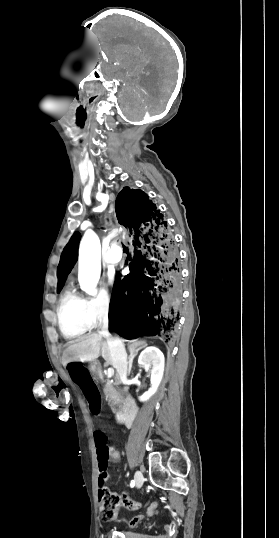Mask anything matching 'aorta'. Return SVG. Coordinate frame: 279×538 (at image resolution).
Masks as SVG:
<instances>
[{
  "label": "aorta",
  "instance_id": "762f6f07",
  "mask_svg": "<svg viewBox=\"0 0 279 538\" xmlns=\"http://www.w3.org/2000/svg\"><path fill=\"white\" fill-rule=\"evenodd\" d=\"M101 244L93 231H87L80 243L78 254V280L86 294H97V283L101 273Z\"/></svg>",
  "mask_w": 279,
  "mask_h": 538
}]
</instances>
